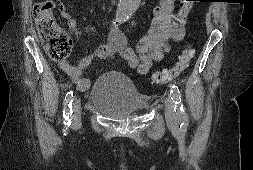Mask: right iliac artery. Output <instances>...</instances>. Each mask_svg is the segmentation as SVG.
<instances>
[{
    "mask_svg": "<svg viewBox=\"0 0 253 170\" xmlns=\"http://www.w3.org/2000/svg\"><path fill=\"white\" fill-rule=\"evenodd\" d=\"M123 21V19L121 18H117L116 22L121 23ZM114 22V23H116ZM72 102H73V91H69L66 94L65 100H64V111H63V117L65 119L64 124L66 126H70L71 124V120L69 119L71 114L73 113L72 111Z\"/></svg>",
    "mask_w": 253,
    "mask_h": 170,
    "instance_id": "obj_1",
    "label": "right iliac artery"
}]
</instances>
